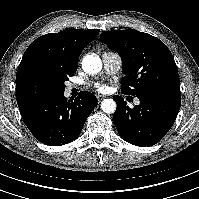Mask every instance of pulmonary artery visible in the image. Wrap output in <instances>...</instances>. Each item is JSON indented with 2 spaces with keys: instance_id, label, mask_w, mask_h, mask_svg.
<instances>
[{
  "instance_id": "1",
  "label": "pulmonary artery",
  "mask_w": 199,
  "mask_h": 199,
  "mask_svg": "<svg viewBox=\"0 0 199 199\" xmlns=\"http://www.w3.org/2000/svg\"><path fill=\"white\" fill-rule=\"evenodd\" d=\"M102 62L104 66V70L106 74L113 75L116 74L122 65L121 57L118 53L113 51H105L102 54ZM75 85H71L70 89H72ZM139 100L135 99V104H138Z\"/></svg>"
}]
</instances>
